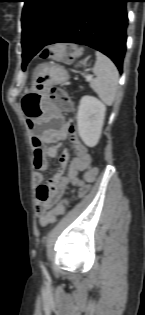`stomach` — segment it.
<instances>
[{
  "mask_svg": "<svg viewBox=\"0 0 145 315\" xmlns=\"http://www.w3.org/2000/svg\"><path fill=\"white\" fill-rule=\"evenodd\" d=\"M68 79V71L60 65L52 64L42 67L35 76L34 87L31 91L22 94L21 112H25L26 120L40 122L41 116H45L47 112V105L44 102L45 91H51L53 84H60Z\"/></svg>",
  "mask_w": 145,
  "mask_h": 315,
  "instance_id": "stomach-1",
  "label": "stomach"
}]
</instances>
